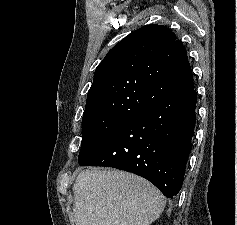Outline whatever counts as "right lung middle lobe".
Here are the masks:
<instances>
[{
	"instance_id": "right-lung-middle-lobe-1",
	"label": "right lung middle lobe",
	"mask_w": 237,
	"mask_h": 225,
	"mask_svg": "<svg viewBox=\"0 0 237 225\" xmlns=\"http://www.w3.org/2000/svg\"><path fill=\"white\" fill-rule=\"evenodd\" d=\"M129 117H96L82 120V143L78 161L119 130Z\"/></svg>"
}]
</instances>
